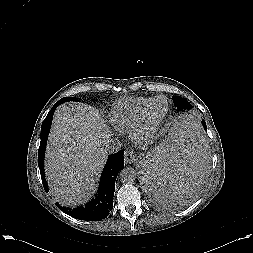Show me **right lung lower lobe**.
Returning a JSON list of instances; mask_svg holds the SVG:
<instances>
[{
    "label": "right lung lower lobe",
    "instance_id": "1",
    "mask_svg": "<svg viewBox=\"0 0 253 253\" xmlns=\"http://www.w3.org/2000/svg\"><path fill=\"white\" fill-rule=\"evenodd\" d=\"M60 104H62L61 101H58L52 107V109L49 111L48 115L44 119L41 127V142L38 151V166L40 169L43 186L46 192L49 191V188L44 177V155L46 149L45 147L47 144L48 134L50 131L54 111ZM123 167L124 151L120 150L117 153L112 154L108 157V160L101 175L98 193L96 194L95 198H93L89 203L85 204V206H80L74 209L61 207L58 203H56L57 207L66 214L79 220L99 221L106 218L113 208L115 181L119 171Z\"/></svg>",
    "mask_w": 253,
    "mask_h": 253
}]
</instances>
